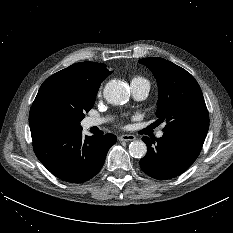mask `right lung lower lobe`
<instances>
[{
	"instance_id": "right-lung-lower-lobe-1",
	"label": "right lung lower lobe",
	"mask_w": 233,
	"mask_h": 233,
	"mask_svg": "<svg viewBox=\"0 0 233 233\" xmlns=\"http://www.w3.org/2000/svg\"><path fill=\"white\" fill-rule=\"evenodd\" d=\"M33 148L41 163L57 178L82 183L102 168L113 134L82 137V128L50 129L32 135Z\"/></svg>"
}]
</instances>
